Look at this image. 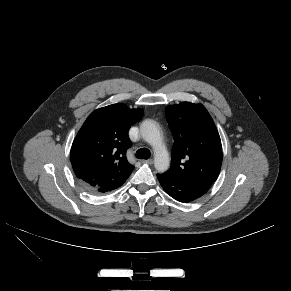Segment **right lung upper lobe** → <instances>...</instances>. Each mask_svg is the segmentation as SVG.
<instances>
[{
  "instance_id": "cb5924a9",
  "label": "right lung upper lobe",
  "mask_w": 291,
  "mask_h": 291,
  "mask_svg": "<svg viewBox=\"0 0 291 291\" xmlns=\"http://www.w3.org/2000/svg\"><path fill=\"white\" fill-rule=\"evenodd\" d=\"M143 114L124 104H113L95 110L75 137L70 161L76 176L95 187L104 182H124L134 166L126 158L131 146L128 129Z\"/></svg>"
}]
</instances>
